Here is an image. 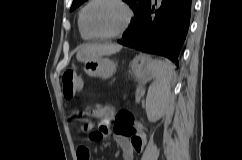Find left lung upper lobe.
Segmentation results:
<instances>
[{
    "instance_id": "obj_1",
    "label": "left lung upper lobe",
    "mask_w": 242,
    "mask_h": 160,
    "mask_svg": "<svg viewBox=\"0 0 242 160\" xmlns=\"http://www.w3.org/2000/svg\"><path fill=\"white\" fill-rule=\"evenodd\" d=\"M86 0H73L70 11H73ZM128 3L134 11L135 16L142 10L147 0H123ZM133 18L131 19L132 22Z\"/></svg>"
}]
</instances>
